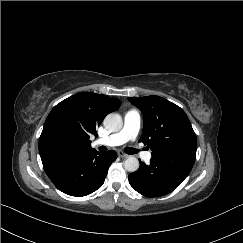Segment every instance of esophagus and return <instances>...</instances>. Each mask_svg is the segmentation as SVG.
<instances>
[{
    "label": "esophagus",
    "instance_id": "obj_1",
    "mask_svg": "<svg viewBox=\"0 0 243 243\" xmlns=\"http://www.w3.org/2000/svg\"><path fill=\"white\" fill-rule=\"evenodd\" d=\"M118 156L120 158H127L128 157V154L124 153L123 151H118Z\"/></svg>",
    "mask_w": 243,
    "mask_h": 243
}]
</instances>
